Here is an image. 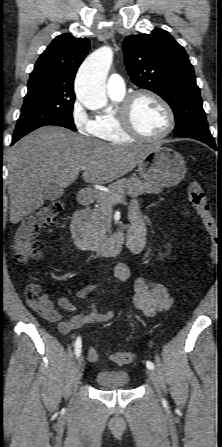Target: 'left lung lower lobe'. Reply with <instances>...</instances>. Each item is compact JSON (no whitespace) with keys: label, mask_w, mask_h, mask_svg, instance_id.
Masks as SVG:
<instances>
[{"label":"left lung lower lobe","mask_w":222,"mask_h":447,"mask_svg":"<svg viewBox=\"0 0 222 447\" xmlns=\"http://www.w3.org/2000/svg\"><path fill=\"white\" fill-rule=\"evenodd\" d=\"M197 140L206 143L207 145H209L210 147H212L214 150H216V144H215V142H214V139H213V140L197 139Z\"/></svg>","instance_id":"0a47b994"}]
</instances>
